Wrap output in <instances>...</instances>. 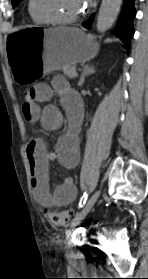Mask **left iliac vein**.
<instances>
[{
	"instance_id": "4c4485c4",
	"label": "left iliac vein",
	"mask_w": 148,
	"mask_h": 279,
	"mask_svg": "<svg viewBox=\"0 0 148 279\" xmlns=\"http://www.w3.org/2000/svg\"><path fill=\"white\" fill-rule=\"evenodd\" d=\"M100 194H101V190L100 189L95 191V193L90 197V199L87 201V203L83 207V209L78 213V215L72 221L71 228H73L76 225H78L80 223V221L89 213V211L94 206V204L97 201V199L100 196Z\"/></svg>"
}]
</instances>
